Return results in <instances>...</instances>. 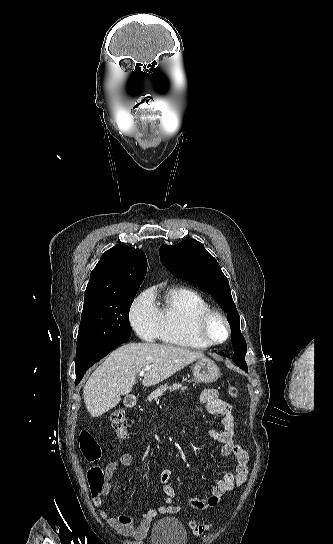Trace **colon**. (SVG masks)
<instances>
[{
    "label": "colon",
    "mask_w": 333,
    "mask_h": 544,
    "mask_svg": "<svg viewBox=\"0 0 333 544\" xmlns=\"http://www.w3.org/2000/svg\"><path fill=\"white\" fill-rule=\"evenodd\" d=\"M230 397L237 398L238 390L234 386H228ZM111 426L119 438H123L127 429V417L125 410L119 408L110 417ZM80 449L85 459L91 464L87 472V478L92 492H99L106 483V474L97 463L101 457V449L95 438L88 432H82L79 436ZM190 527L195 535H202L209 530L210 525L195 520L190 521Z\"/></svg>",
    "instance_id": "colon-1"
}]
</instances>
